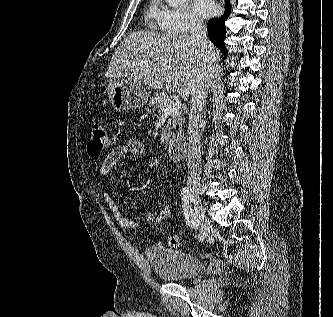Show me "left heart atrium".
<instances>
[{
	"label": "left heart atrium",
	"instance_id": "39dd6f15",
	"mask_svg": "<svg viewBox=\"0 0 333 317\" xmlns=\"http://www.w3.org/2000/svg\"><path fill=\"white\" fill-rule=\"evenodd\" d=\"M192 10L198 19L213 16L217 11V5L213 0H193Z\"/></svg>",
	"mask_w": 333,
	"mask_h": 317
}]
</instances>
